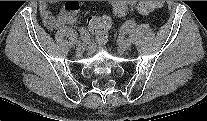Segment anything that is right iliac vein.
I'll use <instances>...</instances> for the list:
<instances>
[{
  "label": "right iliac vein",
  "mask_w": 207,
  "mask_h": 121,
  "mask_svg": "<svg viewBox=\"0 0 207 121\" xmlns=\"http://www.w3.org/2000/svg\"><path fill=\"white\" fill-rule=\"evenodd\" d=\"M84 47H85V44L83 42H81V41L76 42V48L78 51L83 50Z\"/></svg>",
  "instance_id": "1"
}]
</instances>
